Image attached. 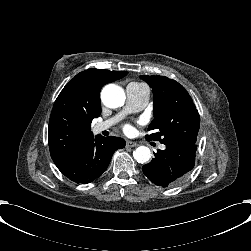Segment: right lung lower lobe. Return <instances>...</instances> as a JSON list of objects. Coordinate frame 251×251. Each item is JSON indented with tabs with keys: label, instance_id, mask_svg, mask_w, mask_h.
Listing matches in <instances>:
<instances>
[{
	"label": "right lung lower lobe",
	"instance_id": "obj_1",
	"mask_svg": "<svg viewBox=\"0 0 251 251\" xmlns=\"http://www.w3.org/2000/svg\"><path fill=\"white\" fill-rule=\"evenodd\" d=\"M125 147L119 137H92L68 158L55 163L60 172L76 183L88 184L107 169L113 153Z\"/></svg>",
	"mask_w": 251,
	"mask_h": 251
}]
</instances>
